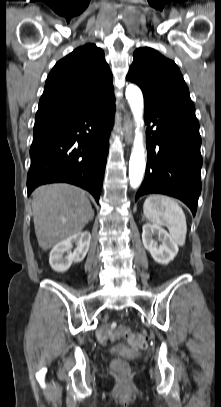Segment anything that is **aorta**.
<instances>
[{
	"instance_id": "1",
	"label": "aorta",
	"mask_w": 221,
	"mask_h": 407,
	"mask_svg": "<svg viewBox=\"0 0 221 407\" xmlns=\"http://www.w3.org/2000/svg\"><path fill=\"white\" fill-rule=\"evenodd\" d=\"M125 95L136 125L135 138L129 161L130 186L136 189L142 182L146 164L141 130L143 127V95L140 88L136 85H128Z\"/></svg>"
}]
</instances>
